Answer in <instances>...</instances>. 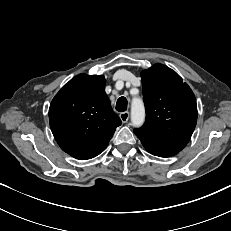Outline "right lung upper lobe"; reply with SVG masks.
I'll return each mask as SVG.
<instances>
[{"label":"right lung upper lobe","mask_w":231,"mask_h":231,"mask_svg":"<svg viewBox=\"0 0 231 231\" xmlns=\"http://www.w3.org/2000/svg\"><path fill=\"white\" fill-rule=\"evenodd\" d=\"M52 133L61 149L79 160L99 155L121 124L105 93L103 76L77 75L49 108Z\"/></svg>","instance_id":"cb5924a9"}]
</instances>
